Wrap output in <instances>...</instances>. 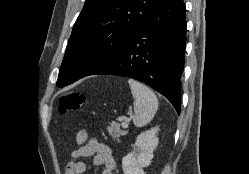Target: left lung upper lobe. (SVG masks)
I'll use <instances>...</instances> for the list:
<instances>
[{
	"instance_id": "obj_1",
	"label": "left lung upper lobe",
	"mask_w": 249,
	"mask_h": 174,
	"mask_svg": "<svg viewBox=\"0 0 249 174\" xmlns=\"http://www.w3.org/2000/svg\"><path fill=\"white\" fill-rule=\"evenodd\" d=\"M161 0H86L66 47L56 85L63 87L108 67Z\"/></svg>"
}]
</instances>
